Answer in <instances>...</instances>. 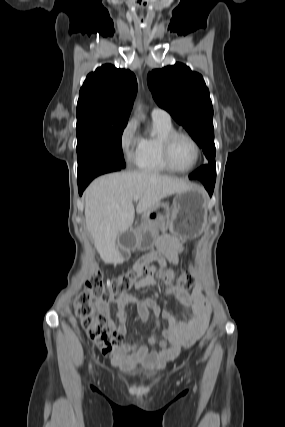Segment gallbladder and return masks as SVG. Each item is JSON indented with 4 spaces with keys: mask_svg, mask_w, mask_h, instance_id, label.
I'll list each match as a JSON object with an SVG mask.
<instances>
[{
    "mask_svg": "<svg viewBox=\"0 0 285 427\" xmlns=\"http://www.w3.org/2000/svg\"><path fill=\"white\" fill-rule=\"evenodd\" d=\"M125 235V233L124 234H122L121 236H120V243L123 245V241H122V239H123V236Z\"/></svg>",
    "mask_w": 285,
    "mask_h": 427,
    "instance_id": "1",
    "label": "gallbladder"
}]
</instances>
